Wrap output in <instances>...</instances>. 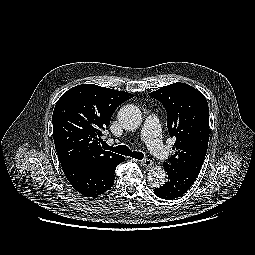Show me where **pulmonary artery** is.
<instances>
[{
  "label": "pulmonary artery",
  "instance_id": "e3ab8cb5",
  "mask_svg": "<svg viewBox=\"0 0 255 255\" xmlns=\"http://www.w3.org/2000/svg\"><path fill=\"white\" fill-rule=\"evenodd\" d=\"M140 137L146 143L149 150L157 157L168 155V149L161 140L160 122L157 116L150 115L146 118L140 132Z\"/></svg>",
  "mask_w": 255,
  "mask_h": 255
}]
</instances>
